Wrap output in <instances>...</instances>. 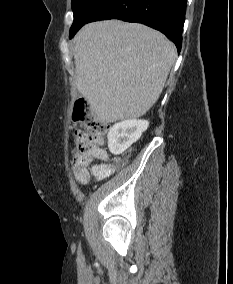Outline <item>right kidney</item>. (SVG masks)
<instances>
[{
	"mask_svg": "<svg viewBox=\"0 0 233 284\" xmlns=\"http://www.w3.org/2000/svg\"><path fill=\"white\" fill-rule=\"evenodd\" d=\"M146 120H126L113 125L108 133V147L112 154L119 155L135 143L147 130Z\"/></svg>",
	"mask_w": 233,
	"mask_h": 284,
	"instance_id": "right-kidney-1",
	"label": "right kidney"
}]
</instances>
